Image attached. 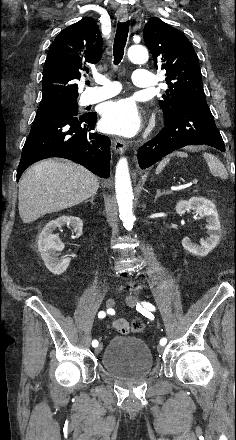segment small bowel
I'll return each mask as SVG.
<instances>
[{"mask_svg":"<svg viewBox=\"0 0 236 440\" xmlns=\"http://www.w3.org/2000/svg\"><path fill=\"white\" fill-rule=\"evenodd\" d=\"M113 326H114L116 332H122L123 330H127L128 323H127V321L116 320L113 323Z\"/></svg>","mask_w":236,"mask_h":440,"instance_id":"obj_1","label":"small bowel"}]
</instances>
